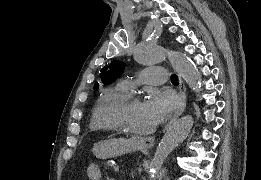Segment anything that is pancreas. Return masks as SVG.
Instances as JSON below:
<instances>
[{
	"instance_id": "pancreas-1",
	"label": "pancreas",
	"mask_w": 261,
	"mask_h": 180,
	"mask_svg": "<svg viewBox=\"0 0 261 180\" xmlns=\"http://www.w3.org/2000/svg\"><path fill=\"white\" fill-rule=\"evenodd\" d=\"M103 169L104 170H111L112 169V163L110 159H105L103 162Z\"/></svg>"
}]
</instances>
